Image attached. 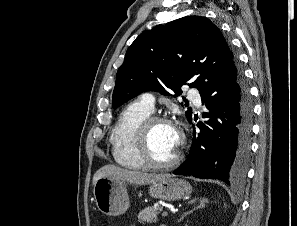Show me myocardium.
Masks as SVG:
<instances>
[{
    "mask_svg": "<svg viewBox=\"0 0 297 226\" xmlns=\"http://www.w3.org/2000/svg\"><path fill=\"white\" fill-rule=\"evenodd\" d=\"M166 123L172 125L171 120L159 115H150L138 127L135 137L136 152L143 163L153 169H165L175 166L182 158L184 135L180 132L178 149L174 156L167 161L155 160L149 149V135L156 124Z\"/></svg>",
    "mask_w": 297,
    "mask_h": 226,
    "instance_id": "1",
    "label": "myocardium"
}]
</instances>
